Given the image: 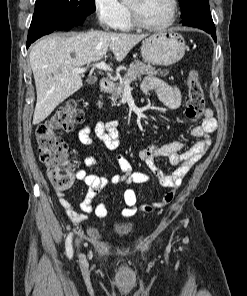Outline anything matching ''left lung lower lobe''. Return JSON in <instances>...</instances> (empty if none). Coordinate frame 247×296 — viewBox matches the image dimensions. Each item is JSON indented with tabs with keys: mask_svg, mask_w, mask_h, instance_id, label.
Wrapping results in <instances>:
<instances>
[{
	"mask_svg": "<svg viewBox=\"0 0 247 296\" xmlns=\"http://www.w3.org/2000/svg\"><path fill=\"white\" fill-rule=\"evenodd\" d=\"M183 25L196 27L206 31L207 33L211 34L214 41L216 42L215 26L209 8L200 9L199 11L188 16L185 18Z\"/></svg>",
	"mask_w": 247,
	"mask_h": 296,
	"instance_id": "left-lung-lower-lobe-1",
	"label": "left lung lower lobe"
}]
</instances>
